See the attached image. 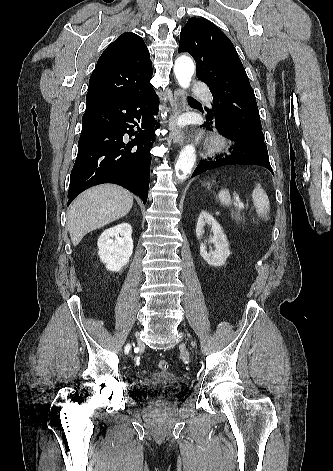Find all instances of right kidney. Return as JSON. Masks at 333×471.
I'll use <instances>...</instances> for the list:
<instances>
[{"instance_id": "right-kidney-1", "label": "right kidney", "mask_w": 333, "mask_h": 471, "mask_svg": "<svg viewBox=\"0 0 333 471\" xmlns=\"http://www.w3.org/2000/svg\"><path fill=\"white\" fill-rule=\"evenodd\" d=\"M131 233V225L124 222L105 230L100 235L97 242L98 255L106 264L107 270L118 272L129 263L133 252Z\"/></svg>"}]
</instances>
